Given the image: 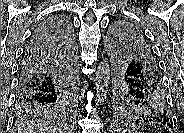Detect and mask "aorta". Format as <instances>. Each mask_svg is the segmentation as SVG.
<instances>
[{"instance_id":"762f6f07","label":"aorta","mask_w":184,"mask_h":133,"mask_svg":"<svg viewBox=\"0 0 184 133\" xmlns=\"http://www.w3.org/2000/svg\"><path fill=\"white\" fill-rule=\"evenodd\" d=\"M110 71V66L106 61L99 62L95 77L96 100L98 103L104 102L107 98Z\"/></svg>"}]
</instances>
